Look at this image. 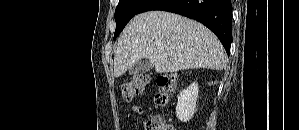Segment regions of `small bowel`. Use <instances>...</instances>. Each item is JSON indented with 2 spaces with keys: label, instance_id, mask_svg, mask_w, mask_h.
Listing matches in <instances>:
<instances>
[{
  "label": "small bowel",
  "instance_id": "obj_1",
  "mask_svg": "<svg viewBox=\"0 0 299 130\" xmlns=\"http://www.w3.org/2000/svg\"><path fill=\"white\" fill-rule=\"evenodd\" d=\"M142 113H143V109L140 106H133L131 108L130 113L128 114V118L141 115Z\"/></svg>",
  "mask_w": 299,
  "mask_h": 130
}]
</instances>
